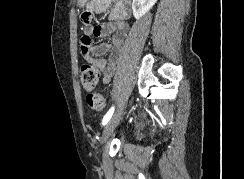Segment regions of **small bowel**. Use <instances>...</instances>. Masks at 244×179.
<instances>
[{
    "label": "small bowel",
    "mask_w": 244,
    "mask_h": 179,
    "mask_svg": "<svg viewBox=\"0 0 244 179\" xmlns=\"http://www.w3.org/2000/svg\"><path fill=\"white\" fill-rule=\"evenodd\" d=\"M87 9L81 13L83 33L80 39L81 53L88 63L102 73V82L107 85L111 82L116 66L121 59L123 45L129 32L128 5L124 1L89 0ZM110 11L109 21L93 25L95 15ZM112 36L108 43L93 44V38ZM109 55L105 58V55Z\"/></svg>",
    "instance_id": "1"
}]
</instances>
